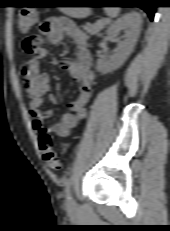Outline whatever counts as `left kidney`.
<instances>
[{
  "instance_id": "5707ae66",
  "label": "left kidney",
  "mask_w": 170,
  "mask_h": 231,
  "mask_svg": "<svg viewBox=\"0 0 170 231\" xmlns=\"http://www.w3.org/2000/svg\"><path fill=\"white\" fill-rule=\"evenodd\" d=\"M141 17L138 13H128L112 23L107 35L110 39L116 40L120 47V51L113 54L109 59H98L96 62V70L103 74L118 69L132 53L134 46L140 34ZM122 29H127L124 40H120L117 35Z\"/></svg>"
}]
</instances>
